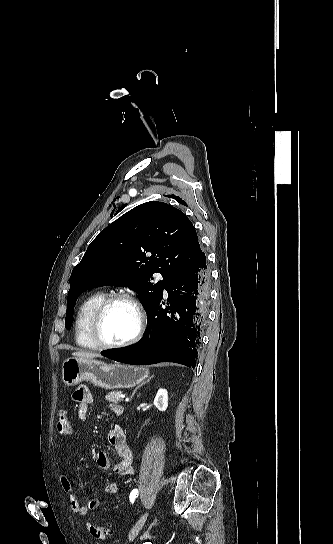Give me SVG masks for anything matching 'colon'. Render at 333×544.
I'll return each mask as SVG.
<instances>
[{"mask_svg":"<svg viewBox=\"0 0 333 544\" xmlns=\"http://www.w3.org/2000/svg\"><path fill=\"white\" fill-rule=\"evenodd\" d=\"M57 430L61 435L72 434L73 427L66 415L64 414L60 415L57 421ZM87 530L93 537L98 539H105L108 537L110 533V530L108 527L97 524V523H89L87 525Z\"/></svg>","mask_w":333,"mask_h":544,"instance_id":"obj_1","label":"colon"}]
</instances>
